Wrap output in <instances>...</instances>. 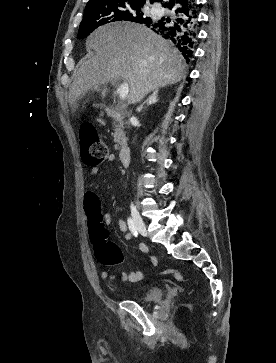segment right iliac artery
I'll return each instance as SVG.
<instances>
[{"label": "right iliac artery", "instance_id": "1", "mask_svg": "<svg viewBox=\"0 0 276 363\" xmlns=\"http://www.w3.org/2000/svg\"><path fill=\"white\" fill-rule=\"evenodd\" d=\"M127 223H128V226H129V229H130L131 233H132L135 237H137L138 232H137V229H136V227H135V224H134L133 220H132L131 218H128Z\"/></svg>", "mask_w": 276, "mask_h": 363}]
</instances>
